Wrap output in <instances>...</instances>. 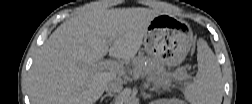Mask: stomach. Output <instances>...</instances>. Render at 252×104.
Instances as JSON below:
<instances>
[{
  "label": "stomach",
  "mask_w": 252,
  "mask_h": 104,
  "mask_svg": "<svg viewBox=\"0 0 252 104\" xmlns=\"http://www.w3.org/2000/svg\"><path fill=\"white\" fill-rule=\"evenodd\" d=\"M193 42L191 28L184 21L168 14L155 16L144 37L145 51L163 65L180 64Z\"/></svg>",
  "instance_id": "1"
}]
</instances>
